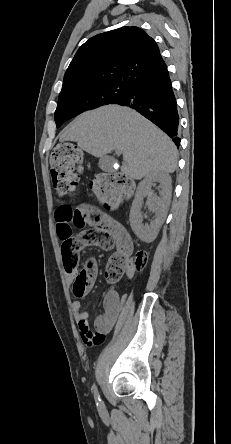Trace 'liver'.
<instances>
[{
  "mask_svg": "<svg viewBox=\"0 0 231 444\" xmlns=\"http://www.w3.org/2000/svg\"><path fill=\"white\" fill-rule=\"evenodd\" d=\"M89 154L103 158L112 151L123 154L121 171L140 180L155 172L173 173L177 148L158 127L135 110L106 105L77 116L60 134Z\"/></svg>",
  "mask_w": 231,
  "mask_h": 444,
  "instance_id": "obj_1",
  "label": "liver"
}]
</instances>
